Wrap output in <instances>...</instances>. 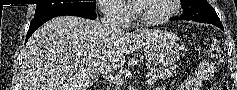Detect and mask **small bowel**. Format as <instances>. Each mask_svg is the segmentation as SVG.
Segmentation results:
<instances>
[{
	"label": "small bowel",
	"mask_w": 237,
	"mask_h": 90,
	"mask_svg": "<svg viewBox=\"0 0 237 90\" xmlns=\"http://www.w3.org/2000/svg\"><path fill=\"white\" fill-rule=\"evenodd\" d=\"M213 73V65L210 63H203L194 74L189 76L182 83L179 90H201L202 83L209 80L213 76ZM160 90H165V88H161Z\"/></svg>",
	"instance_id": "obj_1"
}]
</instances>
